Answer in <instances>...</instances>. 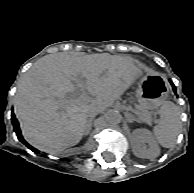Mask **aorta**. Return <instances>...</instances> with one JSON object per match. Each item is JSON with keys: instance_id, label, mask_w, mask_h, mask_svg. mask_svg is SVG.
I'll use <instances>...</instances> for the list:
<instances>
[{"instance_id": "aorta-1", "label": "aorta", "mask_w": 194, "mask_h": 193, "mask_svg": "<svg viewBox=\"0 0 194 193\" xmlns=\"http://www.w3.org/2000/svg\"><path fill=\"white\" fill-rule=\"evenodd\" d=\"M105 120L109 124H118L121 121V114L117 110H110L105 114Z\"/></svg>"}]
</instances>
